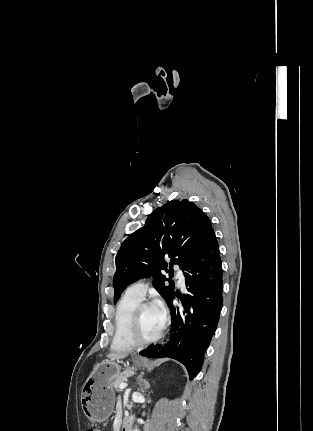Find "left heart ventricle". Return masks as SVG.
Segmentation results:
<instances>
[{
  "label": "left heart ventricle",
  "mask_w": 313,
  "mask_h": 431,
  "mask_svg": "<svg viewBox=\"0 0 313 431\" xmlns=\"http://www.w3.org/2000/svg\"><path fill=\"white\" fill-rule=\"evenodd\" d=\"M160 331L157 316L151 306L145 307L141 316L140 333L144 338H150Z\"/></svg>",
  "instance_id": "1"
}]
</instances>
